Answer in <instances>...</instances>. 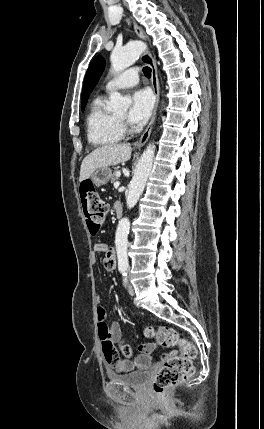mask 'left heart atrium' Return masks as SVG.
<instances>
[{"instance_id": "39dd6f15", "label": "left heart atrium", "mask_w": 264, "mask_h": 429, "mask_svg": "<svg viewBox=\"0 0 264 429\" xmlns=\"http://www.w3.org/2000/svg\"><path fill=\"white\" fill-rule=\"evenodd\" d=\"M154 99L150 91L138 90L131 98L128 120L133 125L143 124L151 115Z\"/></svg>"}]
</instances>
